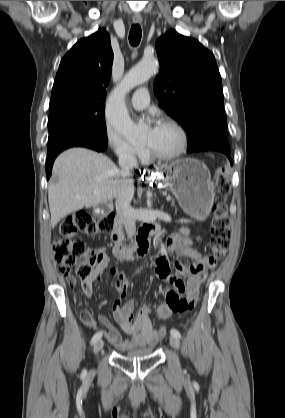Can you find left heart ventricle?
I'll return each instance as SVG.
<instances>
[{
  "label": "left heart ventricle",
  "mask_w": 285,
  "mask_h": 418,
  "mask_svg": "<svg viewBox=\"0 0 285 418\" xmlns=\"http://www.w3.org/2000/svg\"><path fill=\"white\" fill-rule=\"evenodd\" d=\"M145 142L158 153L171 154L177 150L180 136L173 127L161 125L157 131L147 132Z\"/></svg>",
  "instance_id": "b2bd125f"
}]
</instances>
